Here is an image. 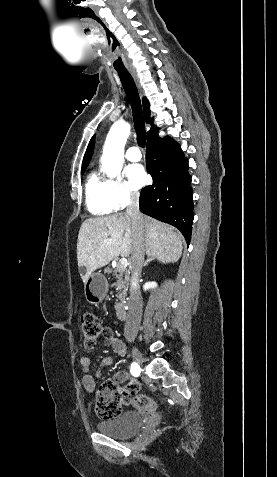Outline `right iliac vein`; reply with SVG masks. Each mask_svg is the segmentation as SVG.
Here are the masks:
<instances>
[{"instance_id":"right-iliac-vein-1","label":"right iliac vein","mask_w":277,"mask_h":477,"mask_svg":"<svg viewBox=\"0 0 277 477\" xmlns=\"http://www.w3.org/2000/svg\"><path fill=\"white\" fill-rule=\"evenodd\" d=\"M132 356H133V359L135 360V362L139 365L142 364L143 362V356L142 354L140 353V351L136 348V347H133L132 349Z\"/></svg>"}]
</instances>
